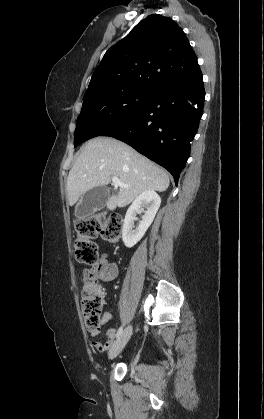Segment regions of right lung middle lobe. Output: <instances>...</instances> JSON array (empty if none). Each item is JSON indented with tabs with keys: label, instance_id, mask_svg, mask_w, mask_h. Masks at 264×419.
Returning <instances> with one entry per match:
<instances>
[{
	"label": "right lung middle lobe",
	"instance_id": "dd1d6c3e",
	"mask_svg": "<svg viewBox=\"0 0 264 419\" xmlns=\"http://www.w3.org/2000/svg\"><path fill=\"white\" fill-rule=\"evenodd\" d=\"M152 93L141 88H126L98 91L84 96L74 133L75 147L86 140L100 136L130 117Z\"/></svg>",
	"mask_w": 264,
	"mask_h": 419
}]
</instances>
